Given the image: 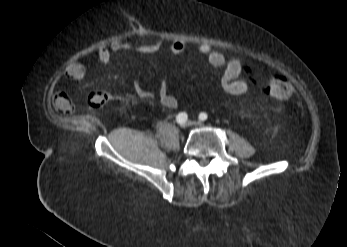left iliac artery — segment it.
I'll return each mask as SVG.
<instances>
[{
	"label": "left iliac artery",
	"instance_id": "44dca946",
	"mask_svg": "<svg viewBox=\"0 0 347 247\" xmlns=\"http://www.w3.org/2000/svg\"><path fill=\"white\" fill-rule=\"evenodd\" d=\"M207 117H208L207 114L204 112L199 114V120H201V121H205L207 119Z\"/></svg>",
	"mask_w": 347,
	"mask_h": 247
}]
</instances>
